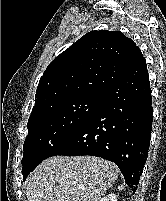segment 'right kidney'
I'll list each match as a JSON object with an SVG mask.
<instances>
[{
    "mask_svg": "<svg viewBox=\"0 0 166 201\" xmlns=\"http://www.w3.org/2000/svg\"><path fill=\"white\" fill-rule=\"evenodd\" d=\"M100 201H117V197L115 194L110 193V194L104 196Z\"/></svg>",
    "mask_w": 166,
    "mask_h": 201,
    "instance_id": "obj_1",
    "label": "right kidney"
}]
</instances>
